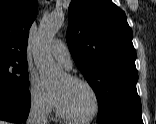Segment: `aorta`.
<instances>
[{
    "label": "aorta",
    "mask_w": 156,
    "mask_h": 124,
    "mask_svg": "<svg viewBox=\"0 0 156 124\" xmlns=\"http://www.w3.org/2000/svg\"><path fill=\"white\" fill-rule=\"evenodd\" d=\"M63 22V14H52L44 18L39 25L33 56L40 79L45 85L55 82L63 72L62 68L55 64L51 55L52 40Z\"/></svg>",
    "instance_id": "762f6f07"
}]
</instances>
